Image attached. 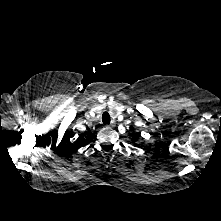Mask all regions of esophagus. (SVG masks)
Listing matches in <instances>:
<instances>
[{
  "instance_id": "esophagus-1",
  "label": "esophagus",
  "mask_w": 221,
  "mask_h": 221,
  "mask_svg": "<svg viewBox=\"0 0 221 221\" xmlns=\"http://www.w3.org/2000/svg\"><path fill=\"white\" fill-rule=\"evenodd\" d=\"M106 127H107V128H110V127H112V126H111V125H106Z\"/></svg>"
}]
</instances>
